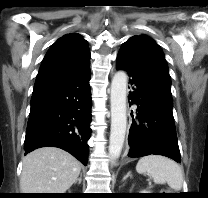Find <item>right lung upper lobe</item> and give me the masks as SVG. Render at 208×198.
<instances>
[{
	"instance_id": "right-lung-upper-lobe-1",
	"label": "right lung upper lobe",
	"mask_w": 208,
	"mask_h": 198,
	"mask_svg": "<svg viewBox=\"0 0 208 198\" xmlns=\"http://www.w3.org/2000/svg\"><path fill=\"white\" fill-rule=\"evenodd\" d=\"M89 60L86 40L76 33L64 35L45 55L33 92L72 80L90 67Z\"/></svg>"
}]
</instances>
